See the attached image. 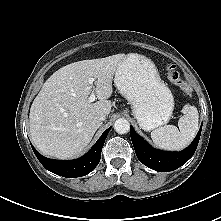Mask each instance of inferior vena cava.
Here are the masks:
<instances>
[{
	"label": "inferior vena cava",
	"instance_id": "602c4592",
	"mask_svg": "<svg viewBox=\"0 0 221 221\" xmlns=\"http://www.w3.org/2000/svg\"><path fill=\"white\" fill-rule=\"evenodd\" d=\"M105 119H106V116L105 115H99V116H97L96 117V120L98 121V122H103V121H105Z\"/></svg>",
	"mask_w": 221,
	"mask_h": 221
}]
</instances>
